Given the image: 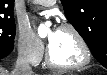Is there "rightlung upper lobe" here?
Masks as SVG:
<instances>
[{
	"label": "right lung upper lobe",
	"instance_id": "1",
	"mask_svg": "<svg viewBox=\"0 0 107 75\" xmlns=\"http://www.w3.org/2000/svg\"><path fill=\"white\" fill-rule=\"evenodd\" d=\"M14 0H0V18H14Z\"/></svg>",
	"mask_w": 107,
	"mask_h": 75
}]
</instances>
